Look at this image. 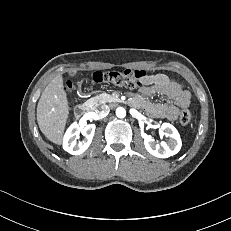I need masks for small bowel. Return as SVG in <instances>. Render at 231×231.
I'll use <instances>...</instances> for the list:
<instances>
[{
	"mask_svg": "<svg viewBox=\"0 0 231 231\" xmlns=\"http://www.w3.org/2000/svg\"><path fill=\"white\" fill-rule=\"evenodd\" d=\"M154 94L166 96L171 104L151 101L150 97ZM190 102L191 94L184 85L165 74L146 75L140 95L132 100L134 105L141 106L148 114L168 120H175L180 109L188 107Z\"/></svg>",
	"mask_w": 231,
	"mask_h": 231,
	"instance_id": "c3829d8e",
	"label": "small bowel"
}]
</instances>
